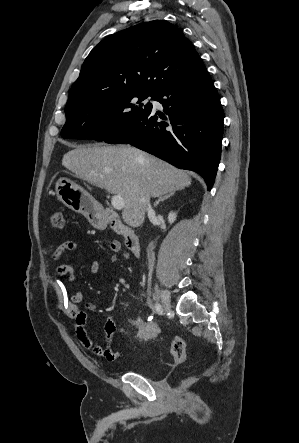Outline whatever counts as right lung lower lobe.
Returning <instances> with one entry per match:
<instances>
[{"mask_svg":"<svg viewBox=\"0 0 299 443\" xmlns=\"http://www.w3.org/2000/svg\"><path fill=\"white\" fill-rule=\"evenodd\" d=\"M154 100L162 104L164 113L151 109L105 142L128 143L195 171L210 190L220 161L223 113L206 68L160 88Z\"/></svg>","mask_w":299,"mask_h":443,"instance_id":"right-lung-lower-lobe-1","label":"right lung lower lobe"}]
</instances>
